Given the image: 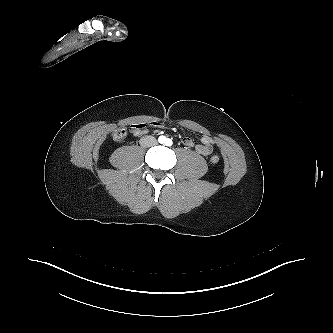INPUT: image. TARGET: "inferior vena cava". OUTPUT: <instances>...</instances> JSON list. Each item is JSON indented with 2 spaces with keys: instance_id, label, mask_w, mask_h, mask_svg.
Wrapping results in <instances>:
<instances>
[{
  "instance_id": "602c4592",
  "label": "inferior vena cava",
  "mask_w": 333,
  "mask_h": 333,
  "mask_svg": "<svg viewBox=\"0 0 333 333\" xmlns=\"http://www.w3.org/2000/svg\"><path fill=\"white\" fill-rule=\"evenodd\" d=\"M157 143V140L153 136H145L140 139V145L143 147H150Z\"/></svg>"
}]
</instances>
